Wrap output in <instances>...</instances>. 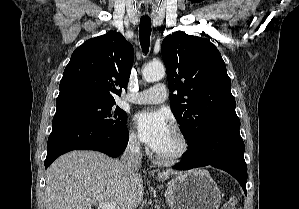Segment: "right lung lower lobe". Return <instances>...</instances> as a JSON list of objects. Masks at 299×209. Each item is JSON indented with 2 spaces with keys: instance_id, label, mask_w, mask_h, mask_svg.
Wrapping results in <instances>:
<instances>
[{
  "instance_id": "98d812e1",
  "label": "right lung lower lobe",
  "mask_w": 299,
  "mask_h": 209,
  "mask_svg": "<svg viewBox=\"0 0 299 209\" xmlns=\"http://www.w3.org/2000/svg\"><path fill=\"white\" fill-rule=\"evenodd\" d=\"M47 143V168L57 157L72 150H96L111 157L120 156L128 142L126 126L111 131L70 117L53 118Z\"/></svg>"
}]
</instances>
